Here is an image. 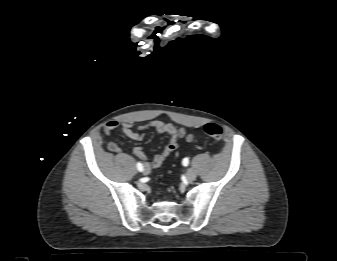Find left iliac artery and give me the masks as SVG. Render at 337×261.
Returning <instances> with one entry per match:
<instances>
[{
    "instance_id": "1",
    "label": "left iliac artery",
    "mask_w": 337,
    "mask_h": 261,
    "mask_svg": "<svg viewBox=\"0 0 337 261\" xmlns=\"http://www.w3.org/2000/svg\"><path fill=\"white\" fill-rule=\"evenodd\" d=\"M182 164L184 166H187L189 164V159L188 158H184L183 161H182Z\"/></svg>"
}]
</instances>
